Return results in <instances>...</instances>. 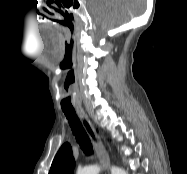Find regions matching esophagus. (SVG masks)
Here are the masks:
<instances>
[{
    "label": "esophagus",
    "instance_id": "1",
    "mask_svg": "<svg viewBox=\"0 0 187 174\" xmlns=\"http://www.w3.org/2000/svg\"><path fill=\"white\" fill-rule=\"evenodd\" d=\"M76 113L85 129L87 132L88 136L90 137L96 154L100 160V162L106 167L107 172L109 174V167H110V159L109 155L106 151L105 148V142L102 140V137L97 133L94 125L90 121L88 115L84 111L83 108H76Z\"/></svg>",
    "mask_w": 187,
    "mask_h": 174
}]
</instances>
